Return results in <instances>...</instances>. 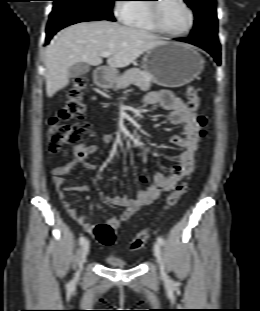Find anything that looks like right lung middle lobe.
<instances>
[{
    "instance_id": "right-lung-middle-lobe-1",
    "label": "right lung middle lobe",
    "mask_w": 260,
    "mask_h": 311,
    "mask_svg": "<svg viewBox=\"0 0 260 311\" xmlns=\"http://www.w3.org/2000/svg\"><path fill=\"white\" fill-rule=\"evenodd\" d=\"M54 7L50 15L71 13L95 16L105 20L115 21L112 14L113 3L116 0H53Z\"/></svg>"
}]
</instances>
